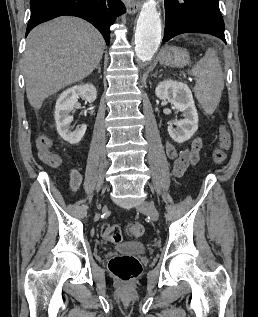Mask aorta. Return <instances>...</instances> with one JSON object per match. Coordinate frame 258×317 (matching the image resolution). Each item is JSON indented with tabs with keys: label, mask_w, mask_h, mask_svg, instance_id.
Returning <instances> with one entry per match:
<instances>
[{
	"label": "aorta",
	"mask_w": 258,
	"mask_h": 317,
	"mask_svg": "<svg viewBox=\"0 0 258 317\" xmlns=\"http://www.w3.org/2000/svg\"><path fill=\"white\" fill-rule=\"evenodd\" d=\"M162 35L160 13L155 0H147L141 9L135 31V53L140 61H150L156 53Z\"/></svg>",
	"instance_id": "obj_1"
}]
</instances>
